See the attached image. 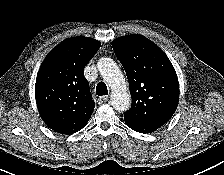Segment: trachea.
<instances>
[{"label":"trachea","instance_id":"3493384b","mask_svg":"<svg viewBox=\"0 0 224 175\" xmlns=\"http://www.w3.org/2000/svg\"><path fill=\"white\" fill-rule=\"evenodd\" d=\"M96 94L98 96L108 95L107 86L104 82H99L96 86Z\"/></svg>","mask_w":224,"mask_h":175}]
</instances>
